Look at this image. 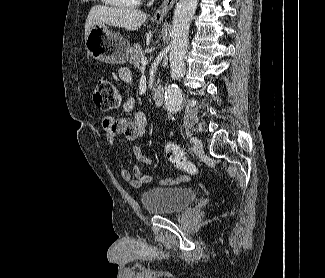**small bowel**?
<instances>
[{"label": "small bowel", "mask_w": 325, "mask_h": 278, "mask_svg": "<svg viewBox=\"0 0 325 278\" xmlns=\"http://www.w3.org/2000/svg\"><path fill=\"white\" fill-rule=\"evenodd\" d=\"M119 77L122 81L130 83L132 76L127 68H121L119 70ZM135 108V100L133 98H127L121 105V110L125 113L133 112ZM102 127L106 134L107 141L115 145L120 136H124L125 139L133 143V152L137 159V164L130 171L125 167H121L120 174L122 178L129 182L134 187H141L144 184L152 180L151 176L143 174L140 169V164H152L153 158L143 154L138 145L139 139L145 134L147 128V117L143 111H135L130 117H121L115 119L111 116H105L102 118ZM187 177L182 175L175 178H164L160 180L162 186L171 185L177 181H184Z\"/></svg>", "instance_id": "c3829d8e"}]
</instances>
